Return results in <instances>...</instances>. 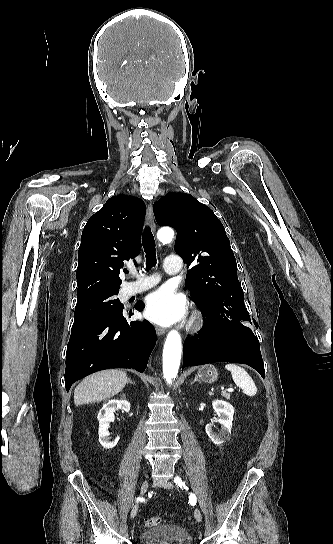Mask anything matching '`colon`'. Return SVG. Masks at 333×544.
<instances>
[{"label":"colon","mask_w":333,"mask_h":544,"mask_svg":"<svg viewBox=\"0 0 333 544\" xmlns=\"http://www.w3.org/2000/svg\"><path fill=\"white\" fill-rule=\"evenodd\" d=\"M162 522H163V518L161 516H153V517L147 518L144 524L148 528H153L160 525Z\"/></svg>","instance_id":"5ec220e1"}]
</instances>
